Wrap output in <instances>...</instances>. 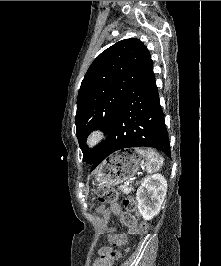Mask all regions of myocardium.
<instances>
[{"mask_svg":"<svg viewBox=\"0 0 221 266\" xmlns=\"http://www.w3.org/2000/svg\"><path fill=\"white\" fill-rule=\"evenodd\" d=\"M105 133L101 130L92 132L86 140V148L93 150L96 148L104 139Z\"/></svg>","mask_w":221,"mask_h":266,"instance_id":"f54148a6","label":"myocardium"}]
</instances>
